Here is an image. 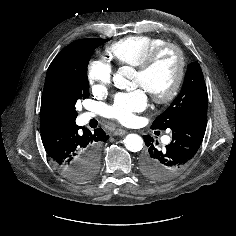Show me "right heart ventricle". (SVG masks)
<instances>
[{
  "instance_id": "1",
  "label": "right heart ventricle",
  "mask_w": 236,
  "mask_h": 236,
  "mask_svg": "<svg viewBox=\"0 0 236 236\" xmlns=\"http://www.w3.org/2000/svg\"><path fill=\"white\" fill-rule=\"evenodd\" d=\"M168 43L160 37L134 35L110 44L106 53L120 65L139 66L155 48Z\"/></svg>"
}]
</instances>
